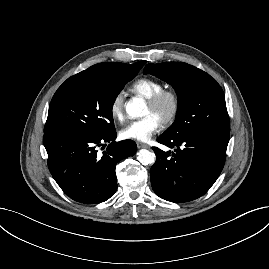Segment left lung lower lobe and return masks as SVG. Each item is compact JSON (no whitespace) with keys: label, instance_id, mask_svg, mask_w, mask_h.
<instances>
[{"label":"left lung lower lobe","instance_id":"left-lung-lower-lobe-1","mask_svg":"<svg viewBox=\"0 0 269 269\" xmlns=\"http://www.w3.org/2000/svg\"><path fill=\"white\" fill-rule=\"evenodd\" d=\"M230 132L197 130L179 137L161 135L157 141L174 152L153 147L156 162L151 184L157 196L184 203L204 195L220 175Z\"/></svg>","mask_w":269,"mask_h":269}]
</instances>
